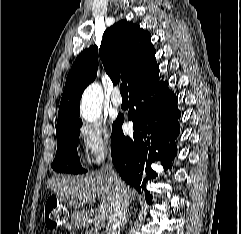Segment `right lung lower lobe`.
I'll return each mask as SVG.
<instances>
[{
	"label": "right lung lower lobe",
	"instance_id": "obj_1",
	"mask_svg": "<svg viewBox=\"0 0 241 234\" xmlns=\"http://www.w3.org/2000/svg\"><path fill=\"white\" fill-rule=\"evenodd\" d=\"M158 78L159 68L129 91L128 119L133 121V136L123 134V117L114 122L111 135V152L117 171L150 201L152 196L146 190V183L157 175L151 164L161 160L165 170L170 167L177 153L174 140L180 130L177 98L168 84L158 82Z\"/></svg>",
	"mask_w": 241,
	"mask_h": 234
}]
</instances>
